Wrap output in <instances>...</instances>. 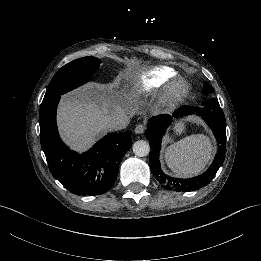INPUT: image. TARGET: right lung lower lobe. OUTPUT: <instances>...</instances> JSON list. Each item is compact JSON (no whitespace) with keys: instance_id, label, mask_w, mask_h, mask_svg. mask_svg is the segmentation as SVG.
<instances>
[{"instance_id":"right-lung-lower-lobe-1","label":"right lung lower lobe","mask_w":261,"mask_h":261,"mask_svg":"<svg viewBox=\"0 0 261 261\" xmlns=\"http://www.w3.org/2000/svg\"><path fill=\"white\" fill-rule=\"evenodd\" d=\"M60 96L43 101L40 107V141L49 170L76 195H101L114 185L119 162L131 147V131L109 133L89 151L78 154L60 139L56 110Z\"/></svg>"}]
</instances>
